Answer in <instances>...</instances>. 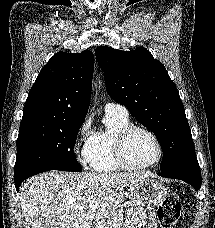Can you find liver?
<instances>
[{
  "label": "liver",
  "instance_id": "liver-1",
  "mask_svg": "<svg viewBox=\"0 0 215 228\" xmlns=\"http://www.w3.org/2000/svg\"><path fill=\"white\" fill-rule=\"evenodd\" d=\"M143 178V172H44L21 184L19 202L29 228H120L124 188ZM89 198H94V208L88 206Z\"/></svg>",
  "mask_w": 215,
  "mask_h": 228
}]
</instances>
